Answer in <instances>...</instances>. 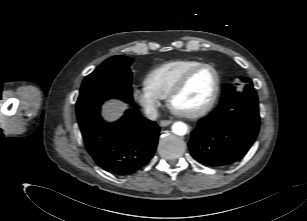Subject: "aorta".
I'll list each match as a JSON object with an SVG mask.
<instances>
[{
  "instance_id": "aorta-1",
  "label": "aorta",
  "mask_w": 307,
  "mask_h": 221,
  "mask_svg": "<svg viewBox=\"0 0 307 221\" xmlns=\"http://www.w3.org/2000/svg\"><path fill=\"white\" fill-rule=\"evenodd\" d=\"M188 127L183 122H175L172 125V132L176 135L183 136L187 133Z\"/></svg>"
}]
</instances>
